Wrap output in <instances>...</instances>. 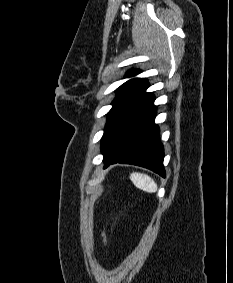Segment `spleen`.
<instances>
[{"label":"spleen","instance_id":"1","mask_svg":"<svg viewBox=\"0 0 233 283\" xmlns=\"http://www.w3.org/2000/svg\"><path fill=\"white\" fill-rule=\"evenodd\" d=\"M130 179L133 184L146 192L154 193L157 191V184L155 181L148 175L142 173H132Z\"/></svg>","mask_w":233,"mask_h":283}]
</instances>
